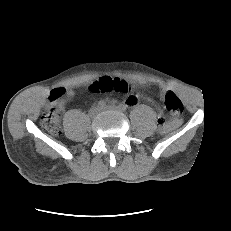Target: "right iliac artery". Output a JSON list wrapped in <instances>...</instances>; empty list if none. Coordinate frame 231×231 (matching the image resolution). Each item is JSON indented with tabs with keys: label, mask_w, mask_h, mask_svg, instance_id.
Segmentation results:
<instances>
[{
	"label": "right iliac artery",
	"mask_w": 231,
	"mask_h": 231,
	"mask_svg": "<svg viewBox=\"0 0 231 231\" xmlns=\"http://www.w3.org/2000/svg\"><path fill=\"white\" fill-rule=\"evenodd\" d=\"M105 106H106V102L105 101H103V100L99 101L98 107L104 108Z\"/></svg>",
	"instance_id": "right-iliac-artery-1"
}]
</instances>
